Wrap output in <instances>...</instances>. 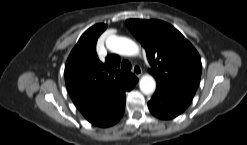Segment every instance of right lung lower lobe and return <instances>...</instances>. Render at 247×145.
<instances>
[{"label": "right lung lower lobe", "instance_id": "obj_1", "mask_svg": "<svg viewBox=\"0 0 247 145\" xmlns=\"http://www.w3.org/2000/svg\"><path fill=\"white\" fill-rule=\"evenodd\" d=\"M135 86V85H134ZM124 111L121 113L120 116H118L115 120L111 121L110 123H108L107 125L103 126V127H109V126H112L114 125L115 123H117L119 121V119L122 117Z\"/></svg>", "mask_w": 247, "mask_h": 145}]
</instances>
